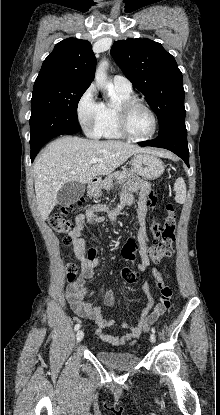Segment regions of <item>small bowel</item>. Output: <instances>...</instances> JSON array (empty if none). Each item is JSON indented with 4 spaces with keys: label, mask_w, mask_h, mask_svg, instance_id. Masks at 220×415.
<instances>
[{
    "label": "small bowel",
    "mask_w": 220,
    "mask_h": 415,
    "mask_svg": "<svg viewBox=\"0 0 220 415\" xmlns=\"http://www.w3.org/2000/svg\"><path fill=\"white\" fill-rule=\"evenodd\" d=\"M149 193V184L144 180H135L130 183L122 192L120 203L117 207L109 209L104 204L90 205L84 213L76 216L74 228L70 232V237L74 245V252L76 257L81 261V275L79 278L71 283L65 290V298L71 306L74 313L81 317L94 321L98 328L96 330L97 336L103 341L112 345L129 344L134 345L143 332L147 331L149 327L162 315L155 311V303L149 293L147 284H144L142 289L146 298L145 306L140 314L138 323L129 328L126 334L112 335L105 332V329L114 325L113 320L106 319L102 314V309L98 306L92 305L85 297H94L96 291L88 288L86 282L95 277L96 269L100 264L97 250L87 247L86 241L82 234L86 226L93 224H100L105 221V217L101 215L102 212H107L109 221H113L118 214L125 208L129 207L134 202V195L137 194L136 199V219H137V239L140 248V264L139 270L145 271L150 268L152 276L157 280L161 273L156 267L151 266L150 259L147 254L148 239L146 233V213H147V196ZM114 294L108 291L105 294L104 302L108 306L114 303ZM127 328V324L123 325Z\"/></svg>",
    "instance_id": "obj_1"
}]
</instances>
